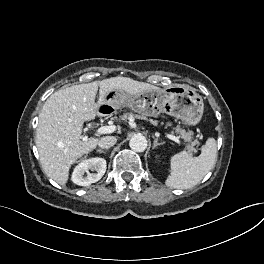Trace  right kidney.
I'll return each mask as SVG.
<instances>
[{"label": "right kidney", "mask_w": 264, "mask_h": 264, "mask_svg": "<svg viewBox=\"0 0 264 264\" xmlns=\"http://www.w3.org/2000/svg\"><path fill=\"white\" fill-rule=\"evenodd\" d=\"M106 166L104 158L96 157L84 160L75 167L71 179L77 185L89 186L102 178L106 172ZM89 170H95L96 173H89Z\"/></svg>", "instance_id": "right-kidney-1"}]
</instances>
